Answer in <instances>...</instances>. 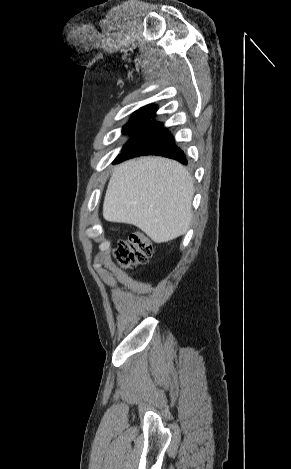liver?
Returning a JSON list of instances; mask_svg holds the SVG:
<instances>
[{
  "label": "liver",
  "instance_id": "6515ba94",
  "mask_svg": "<svg viewBox=\"0 0 291 469\" xmlns=\"http://www.w3.org/2000/svg\"><path fill=\"white\" fill-rule=\"evenodd\" d=\"M193 194V179L178 162L162 157L129 160L114 168L103 217L134 225L155 243L168 242L188 231Z\"/></svg>",
  "mask_w": 291,
  "mask_h": 469
}]
</instances>
